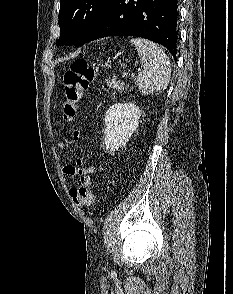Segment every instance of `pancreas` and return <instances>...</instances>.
I'll return each instance as SVG.
<instances>
[{"label":"pancreas","instance_id":"obj_1","mask_svg":"<svg viewBox=\"0 0 233 294\" xmlns=\"http://www.w3.org/2000/svg\"><path fill=\"white\" fill-rule=\"evenodd\" d=\"M107 85L111 89H115L116 91H123L125 88V83L117 80V78H113L111 81H107Z\"/></svg>","mask_w":233,"mask_h":294}]
</instances>
